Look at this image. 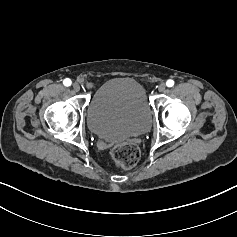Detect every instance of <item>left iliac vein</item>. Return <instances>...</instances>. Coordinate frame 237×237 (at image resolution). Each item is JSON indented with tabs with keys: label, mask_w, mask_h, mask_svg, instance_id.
Masks as SVG:
<instances>
[{
	"label": "left iliac vein",
	"mask_w": 237,
	"mask_h": 237,
	"mask_svg": "<svg viewBox=\"0 0 237 237\" xmlns=\"http://www.w3.org/2000/svg\"><path fill=\"white\" fill-rule=\"evenodd\" d=\"M165 90H166V84L165 83H161L159 85V87H158V91L163 93V92H165Z\"/></svg>",
	"instance_id": "1"
}]
</instances>
